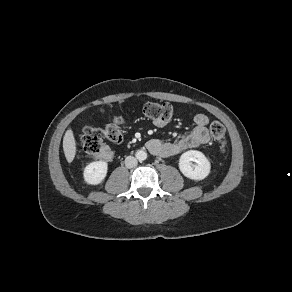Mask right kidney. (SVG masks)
I'll list each match as a JSON object with an SVG mask.
<instances>
[{
    "mask_svg": "<svg viewBox=\"0 0 292 292\" xmlns=\"http://www.w3.org/2000/svg\"><path fill=\"white\" fill-rule=\"evenodd\" d=\"M107 171L108 163L106 161L89 163L83 172L84 181L87 184L98 185L105 179Z\"/></svg>",
    "mask_w": 292,
    "mask_h": 292,
    "instance_id": "ca27d5eb",
    "label": "right kidney"
}]
</instances>
